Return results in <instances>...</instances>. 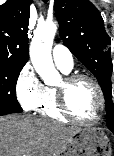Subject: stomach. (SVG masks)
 Listing matches in <instances>:
<instances>
[{"instance_id": "1", "label": "stomach", "mask_w": 114, "mask_h": 156, "mask_svg": "<svg viewBox=\"0 0 114 156\" xmlns=\"http://www.w3.org/2000/svg\"><path fill=\"white\" fill-rule=\"evenodd\" d=\"M109 138L100 129H79L54 156H111Z\"/></svg>"}]
</instances>
